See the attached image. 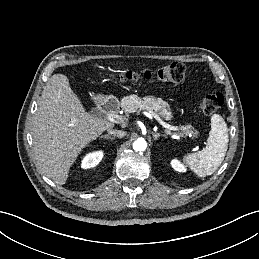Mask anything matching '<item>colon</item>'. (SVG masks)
I'll return each instance as SVG.
<instances>
[{"label": "colon", "instance_id": "1", "mask_svg": "<svg viewBox=\"0 0 259 259\" xmlns=\"http://www.w3.org/2000/svg\"><path fill=\"white\" fill-rule=\"evenodd\" d=\"M185 66L179 62L166 64L156 71L144 70L137 71H120L111 75L112 79L118 82H137L141 79L150 80L156 78L159 81L167 83H180L185 77ZM224 102L221 93L206 95L198 101V107L206 114L212 115L218 112Z\"/></svg>", "mask_w": 259, "mask_h": 259}]
</instances>
